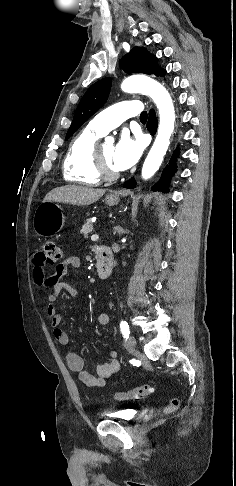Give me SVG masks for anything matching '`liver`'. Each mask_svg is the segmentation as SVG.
Masks as SVG:
<instances>
[{"mask_svg":"<svg viewBox=\"0 0 236 486\" xmlns=\"http://www.w3.org/2000/svg\"><path fill=\"white\" fill-rule=\"evenodd\" d=\"M105 193L104 189L66 185L51 190L45 196L43 202L53 201L72 205H90L98 201Z\"/></svg>","mask_w":236,"mask_h":486,"instance_id":"liver-1","label":"liver"}]
</instances>
